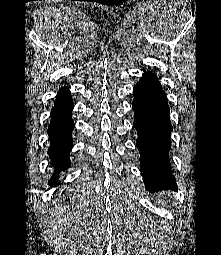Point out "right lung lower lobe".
<instances>
[{"mask_svg":"<svg viewBox=\"0 0 221 255\" xmlns=\"http://www.w3.org/2000/svg\"><path fill=\"white\" fill-rule=\"evenodd\" d=\"M73 101L68 88H63L58 92L57 101L51 112V123L48 134L51 141L48 154L55 167L54 175L50 185H57L56 174L70 166L69 152L72 149V129L73 120L71 117Z\"/></svg>","mask_w":221,"mask_h":255,"instance_id":"obj_1","label":"right lung lower lobe"}]
</instances>
